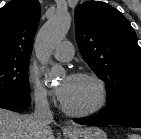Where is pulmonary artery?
<instances>
[{"label": "pulmonary artery", "mask_w": 141, "mask_h": 139, "mask_svg": "<svg viewBox=\"0 0 141 139\" xmlns=\"http://www.w3.org/2000/svg\"><path fill=\"white\" fill-rule=\"evenodd\" d=\"M74 54V49L69 41L61 42L53 52L54 57L59 61H69Z\"/></svg>", "instance_id": "e3ab8cb5"}]
</instances>
